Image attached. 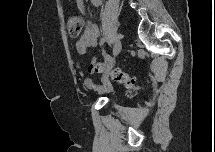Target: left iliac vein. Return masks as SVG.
Instances as JSON below:
<instances>
[{"label": "left iliac vein", "instance_id": "left-iliac-vein-1", "mask_svg": "<svg viewBox=\"0 0 215 152\" xmlns=\"http://www.w3.org/2000/svg\"><path fill=\"white\" fill-rule=\"evenodd\" d=\"M121 48H122V44H121V41L119 38H117L114 42V48H113V54L114 56H117L120 51H121Z\"/></svg>", "mask_w": 215, "mask_h": 152}]
</instances>
